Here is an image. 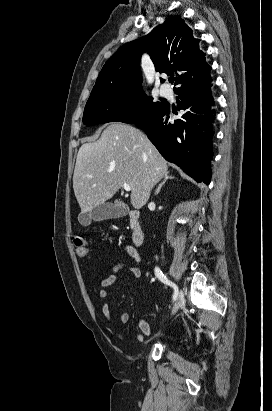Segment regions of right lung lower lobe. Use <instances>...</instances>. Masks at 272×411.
I'll use <instances>...</instances> for the list:
<instances>
[{"label":"right lung lower lobe","mask_w":272,"mask_h":411,"mask_svg":"<svg viewBox=\"0 0 272 411\" xmlns=\"http://www.w3.org/2000/svg\"><path fill=\"white\" fill-rule=\"evenodd\" d=\"M211 81L209 75L198 83L174 90L178 95L179 113L164 103L154 115L134 123L145 131L166 160L178 165L197 182L207 185L211 180V124L215 119V111L211 109ZM174 114L178 118L171 122Z\"/></svg>","instance_id":"right-lung-lower-lobe-1"}]
</instances>
